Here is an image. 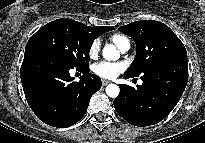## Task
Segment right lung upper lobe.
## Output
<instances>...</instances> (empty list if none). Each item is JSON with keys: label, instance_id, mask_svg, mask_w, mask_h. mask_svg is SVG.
I'll use <instances>...</instances> for the list:
<instances>
[{"label": "right lung upper lobe", "instance_id": "right-lung-upper-lobe-1", "mask_svg": "<svg viewBox=\"0 0 205 143\" xmlns=\"http://www.w3.org/2000/svg\"><path fill=\"white\" fill-rule=\"evenodd\" d=\"M86 29L95 37L97 38L98 36L102 35L105 32L111 31L114 28L112 27H108V26H101V27H90V26H86Z\"/></svg>", "mask_w": 205, "mask_h": 143}]
</instances>
